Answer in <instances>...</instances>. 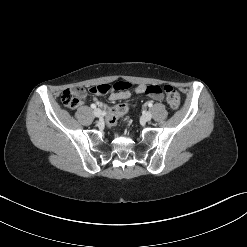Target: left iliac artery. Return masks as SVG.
Instances as JSON below:
<instances>
[{"instance_id": "obj_1", "label": "left iliac artery", "mask_w": 247, "mask_h": 247, "mask_svg": "<svg viewBox=\"0 0 247 247\" xmlns=\"http://www.w3.org/2000/svg\"><path fill=\"white\" fill-rule=\"evenodd\" d=\"M152 105H153L152 102H148L149 107H152Z\"/></svg>"}]
</instances>
